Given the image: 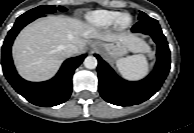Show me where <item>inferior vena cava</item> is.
Here are the masks:
<instances>
[{
  "instance_id": "inferior-vena-cava-1",
  "label": "inferior vena cava",
  "mask_w": 194,
  "mask_h": 133,
  "mask_svg": "<svg viewBox=\"0 0 194 133\" xmlns=\"http://www.w3.org/2000/svg\"><path fill=\"white\" fill-rule=\"evenodd\" d=\"M64 51L65 53L70 56V55H73L75 53H77L78 51V48L77 46H75L74 44H68L64 47Z\"/></svg>"
}]
</instances>
